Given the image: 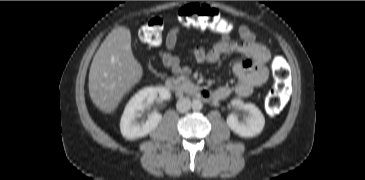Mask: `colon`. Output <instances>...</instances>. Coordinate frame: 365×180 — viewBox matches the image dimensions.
Masks as SVG:
<instances>
[{
  "mask_svg": "<svg viewBox=\"0 0 365 180\" xmlns=\"http://www.w3.org/2000/svg\"><path fill=\"white\" fill-rule=\"evenodd\" d=\"M181 27H194L211 30L222 35L229 30V24L210 6L189 4L178 12ZM165 22L161 17L150 18L141 28L139 37L148 46L157 47L163 42ZM275 84L267 95V106L271 113H279L285 105V82L289 72L286 61L279 57L273 61Z\"/></svg>",
  "mask_w": 365,
  "mask_h": 180,
  "instance_id": "5ec220e1",
  "label": "colon"
}]
</instances>
